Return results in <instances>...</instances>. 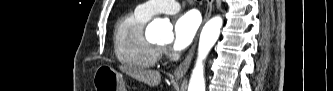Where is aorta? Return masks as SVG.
Instances as JSON below:
<instances>
[{
    "instance_id": "aorta-1",
    "label": "aorta",
    "mask_w": 333,
    "mask_h": 91,
    "mask_svg": "<svg viewBox=\"0 0 333 91\" xmlns=\"http://www.w3.org/2000/svg\"><path fill=\"white\" fill-rule=\"evenodd\" d=\"M223 25L221 16L211 18L203 27L198 45V57L189 82L188 91H205L204 65L211 48L216 43ZM147 35L164 41L173 38L171 24L163 19H154L147 27Z\"/></svg>"
}]
</instances>
